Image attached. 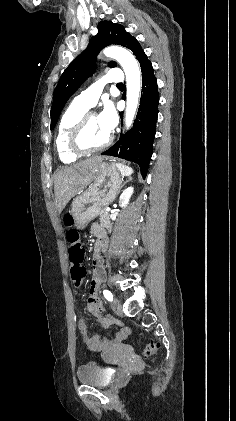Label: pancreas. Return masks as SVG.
I'll use <instances>...</instances> for the list:
<instances>
[{
    "label": "pancreas",
    "instance_id": "pancreas-1",
    "mask_svg": "<svg viewBox=\"0 0 236 421\" xmlns=\"http://www.w3.org/2000/svg\"><path fill=\"white\" fill-rule=\"evenodd\" d=\"M100 225L101 227H106V229H108V231H110L111 227H112V223L110 221V215L109 213H107V211H105V208H102V211H100Z\"/></svg>",
    "mask_w": 236,
    "mask_h": 421
}]
</instances>
